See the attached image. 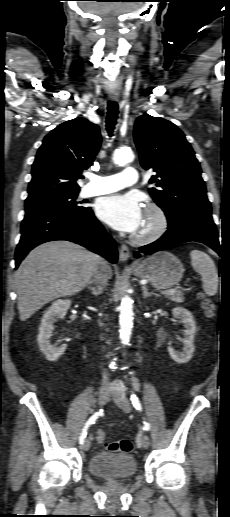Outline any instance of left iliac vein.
<instances>
[{
    "mask_svg": "<svg viewBox=\"0 0 230 517\" xmlns=\"http://www.w3.org/2000/svg\"><path fill=\"white\" fill-rule=\"evenodd\" d=\"M112 397L117 406L121 408L124 412L129 413L131 411L130 402L124 394L113 393ZM138 445L140 447H143L144 449H148L150 445V439L147 434H142L141 436H139Z\"/></svg>",
    "mask_w": 230,
    "mask_h": 517,
    "instance_id": "obj_1",
    "label": "left iliac vein"
}]
</instances>
